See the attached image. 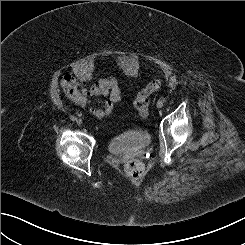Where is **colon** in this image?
Returning a JSON list of instances; mask_svg holds the SVG:
<instances>
[{
	"label": "colon",
	"mask_w": 245,
	"mask_h": 245,
	"mask_svg": "<svg viewBox=\"0 0 245 245\" xmlns=\"http://www.w3.org/2000/svg\"><path fill=\"white\" fill-rule=\"evenodd\" d=\"M160 86L161 82L159 79H152L140 92H138L134 100V106L142 117H146L148 115L150 96L158 91ZM125 172L132 178H139L144 172V165L139 160H130L125 164Z\"/></svg>",
	"instance_id": "colon-1"
}]
</instances>
